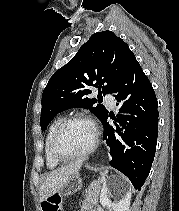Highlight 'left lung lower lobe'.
<instances>
[{"mask_svg": "<svg viewBox=\"0 0 179 211\" xmlns=\"http://www.w3.org/2000/svg\"><path fill=\"white\" fill-rule=\"evenodd\" d=\"M111 93L120 105L116 128L102 121L103 140L110 147V165L140 190L147 178L155 156L158 134V103L153 87L131 54Z\"/></svg>", "mask_w": 179, "mask_h": 211, "instance_id": "0a47b994", "label": "left lung lower lobe"}]
</instances>
